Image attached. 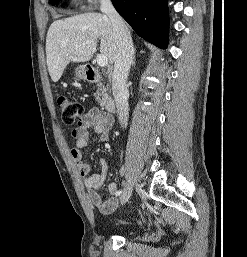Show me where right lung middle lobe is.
<instances>
[{"instance_id":"1","label":"right lung middle lobe","mask_w":247,"mask_h":257,"mask_svg":"<svg viewBox=\"0 0 247 257\" xmlns=\"http://www.w3.org/2000/svg\"><path fill=\"white\" fill-rule=\"evenodd\" d=\"M59 0H50L51 4L54 5L58 2Z\"/></svg>"}]
</instances>
